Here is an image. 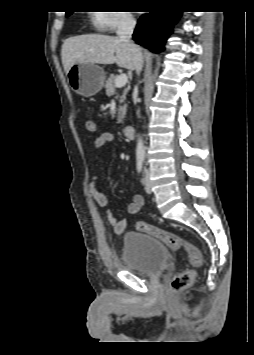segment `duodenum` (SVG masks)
Here are the masks:
<instances>
[{
  "label": "duodenum",
  "instance_id": "410a0bca",
  "mask_svg": "<svg viewBox=\"0 0 254 355\" xmlns=\"http://www.w3.org/2000/svg\"><path fill=\"white\" fill-rule=\"evenodd\" d=\"M123 134L127 138H132L134 136V126L133 125H125L123 128Z\"/></svg>",
  "mask_w": 254,
  "mask_h": 355
}]
</instances>
